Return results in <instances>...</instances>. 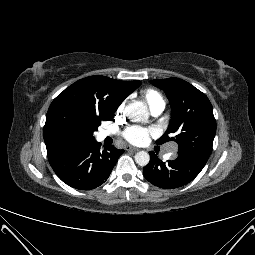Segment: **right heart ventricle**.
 Segmentation results:
<instances>
[{"instance_id":"1","label":"right heart ventricle","mask_w":255,"mask_h":255,"mask_svg":"<svg viewBox=\"0 0 255 255\" xmlns=\"http://www.w3.org/2000/svg\"><path fill=\"white\" fill-rule=\"evenodd\" d=\"M142 97L148 104L150 110L159 106L165 107V100L163 96L155 89H145L142 92Z\"/></svg>"}]
</instances>
